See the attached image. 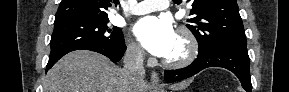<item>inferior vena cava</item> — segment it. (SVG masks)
I'll return each instance as SVG.
<instances>
[{
    "mask_svg": "<svg viewBox=\"0 0 289 92\" xmlns=\"http://www.w3.org/2000/svg\"><path fill=\"white\" fill-rule=\"evenodd\" d=\"M143 49L138 45L128 47L124 57V68L133 78L143 79L145 77V69L143 64Z\"/></svg>",
    "mask_w": 289,
    "mask_h": 92,
    "instance_id": "1",
    "label": "inferior vena cava"
}]
</instances>
